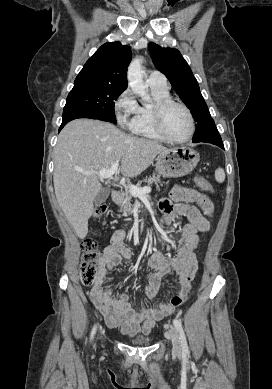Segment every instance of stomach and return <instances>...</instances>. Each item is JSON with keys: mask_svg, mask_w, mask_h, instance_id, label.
<instances>
[{"mask_svg": "<svg viewBox=\"0 0 272 389\" xmlns=\"http://www.w3.org/2000/svg\"><path fill=\"white\" fill-rule=\"evenodd\" d=\"M199 160V154L192 148L174 147L159 154L156 171L167 178L183 177L193 171Z\"/></svg>", "mask_w": 272, "mask_h": 389, "instance_id": "obj_1", "label": "stomach"}]
</instances>
